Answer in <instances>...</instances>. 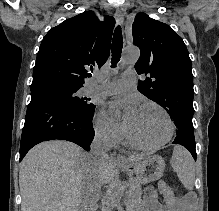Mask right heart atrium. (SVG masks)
Instances as JSON below:
<instances>
[{
    "mask_svg": "<svg viewBox=\"0 0 219 211\" xmlns=\"http://www.w3.org/2000/svg\"><path fill=\"white\" fill-rule=\"evenodd\" d=\"M94 126L97 137L109 145H117L123 137L122 128L115 122L109 120L102 112L94 119Z\"/></svg>",
    "mask_w": 219,
    "mask_h": 211,
    "instance_id": "right-heart-atrium-1",
    "label": "right heart atrium"
}]
</instances>
